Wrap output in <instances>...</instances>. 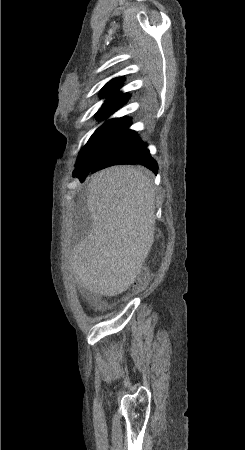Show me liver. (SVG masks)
<instances>
[{
  "instance_id": "obj_1",
  "label": "liver",
  "mask_w": 245,
  "mask_h": 450,
  "mask_svg": "<svg viewBox=\"0 0 245 450\" xmlns=\"http://www.w3.org/2000/svg\"><path fill=\"white\" fill-rule=\"evenodd\" d=\"M88 236L71 253L78 285L104 296L134 282L154 241L155 192L150 172L113 166L90 177Z\"/></svg>"
}]
</instances>
